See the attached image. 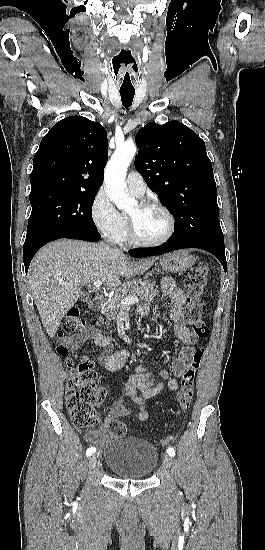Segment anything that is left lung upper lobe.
Masks as SVG:
<instances>
[{"label":"left lung upper lobe","instance_id":"1","mask_svg":"<svg viewBox=\"0 0 265 550\" xmlns=\"http://www.w3.org/2000/svg\"><path fill=\"white\" fill-rule=\"evenodd\" d=\"M136 170L175 219L170 242L224 248L216 183L204 141L184 124L148 123L136 135Z\"/></svg>","mask_w":265,"mask_h":550}]
</instances>
